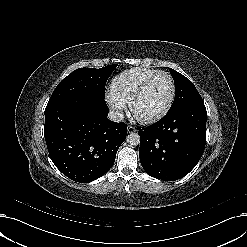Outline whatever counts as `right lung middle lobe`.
<instances>
[{
    "mask_svg": "<svg viewBox=\"0 0 247 247\" xmlns=\"http://www.w3.org/2000/svg\"><path fill=\"white\" fill-rule=\"evenodd\" d=\"M116 67L117 64L100 69L79 68L73 71L57 85L47 106L62 101H104L107 79Z\"/></svg>",
    "mask_w": 247,
    "mask_h": 247,
    "instance_id": "right-lung-middle-lobe-1",
    "label": "right lung middle lobe"
}]
</instances>
